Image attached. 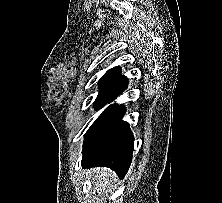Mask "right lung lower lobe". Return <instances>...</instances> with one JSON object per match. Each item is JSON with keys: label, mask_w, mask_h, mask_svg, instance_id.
Masks as SVG:
<instances>
[{"label": "right lung lower lobe", "mask_w": 222, "mask_h": 203, "mask_svg": "<svg viewBox=\"0 0 222 203\" xmlns=\"http://www.w3.org/2000/svg\"><path fill=\"white\" fill-rule=\"evenodd\" d=\"M124 114L122 105L113 104L91 125L84 139L83 166H106L121 178L125 176L132 160L134 137L129 124L121 121Z\"/></svg>", "instance_id": "98d812e1"}]
</instances>
